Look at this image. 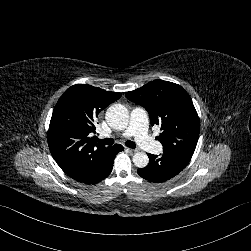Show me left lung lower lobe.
<instances>
[{
  "label": "left lung lower lobe",
  "instance_id": "left-lung-lower-lobe-1",
  "mask_svg": "<svg viewBox=\"0 0 251 251\" xmlns=\"http://www.w3.org/2000/svg\"><path fill=\"white\" fill-rule=\"evenodd\" d=\"M149 164L137 170L138 174L150 182H164L180 173L189 163L190 159L173 153L163 152L159 157L148 154Z\"/></svg>",
  "mask_w": 251,
  "mask_h": 251
}]
</instances>
